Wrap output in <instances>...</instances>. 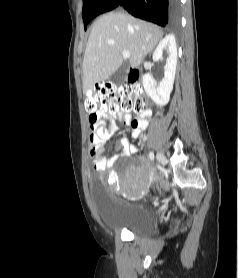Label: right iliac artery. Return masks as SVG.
<instances>
[{
	"label": "right iliac artery",
	"instance_id": "right-iliac-artery-1",
	"mask_svg": "<svg viewBox=\"0 0 238 278\" xmlns=\"http://www.w3.org/2000/svg\"><path fill=\"white\" fill-rule=\"evenodd\" d=\"M149 158H150V160H153V159H154V153H153V152H150V153H149Z\"/></svg>",
	"mask_w": 238,
	"mask_h": 278
}]
</instances>
